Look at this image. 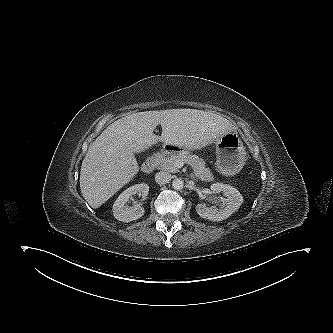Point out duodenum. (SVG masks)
Here are the masks:
<instances>
[{
  "mask_svg": "<svg viewBox=\"0 0 333 333\" xmlns=\"http://www.w3.org/2000/svg\"><path fill=\"white\" fill-rule=\"evenodd\" d=\"M171 150L170 147H165L164 149L156 152L152 156H150L142 165V169L144 172L153 171L163 160L164 155Z\"/></svg>",
  "mask_w": 333,
  "mask_h": 333,
  "instance_id": "duodenum-1",
  "label": "duodenum"
}]
</instances>
